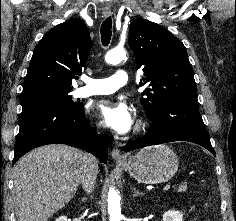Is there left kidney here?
Returning <instances> with one entry per match:
<instances>
[{
	"label": "left kidney",
	"instance_id": "left-kidney-1",
	"mask_svg": "<svg viewBox=\"0 0 236 221\" xmlns=\"http://www.w3.org/2000/svg\"><path fill=\"white\" fill-rule=\"evenodd\" d=\"M163 221H183V214L179 211L169 210L163 214Z\"/></svg>",
	"mask_w": 236,
	"mask_h": 221
}]
</instances>
